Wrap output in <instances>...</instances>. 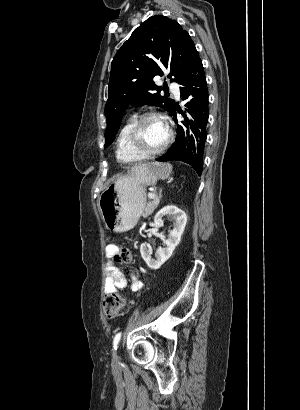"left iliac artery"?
Returning a JSON list of instances; mask_svg holds the SVG:
<instances>
[{
	"mask_svg": "<svg viewBox=\"0 0 300 410\" xmlns=\"http://www.w3.org/2000/svg\"><path fill=\"white\" fill-rule=\"evenodd\" d=\"M121 335H122V333L119 332V333H117V334L115 335V337H114V340H113V348H114V350H117L119 341H120V339H121Z\"/></svg>",
	"mask_w": 300,
	"mask_h": 410,
	"instance_id": "left-iliac-artery-1",
	"label": "left iliac artery"
}]
</instances>
